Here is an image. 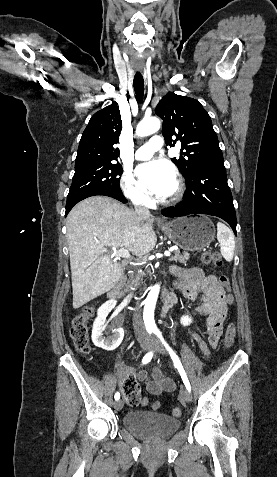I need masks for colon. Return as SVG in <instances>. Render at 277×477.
Here are the masks:
<instances>
[{
    "label": "colon",
    "instance_id": "1",
    "mask_svg": "<svg viewBox=\"0 0 277 477\" xmlns=\"http://www.w3.org/2000/svg\"><path fill=\"white\" fill-rule=\"evenodd\" d=\"M201 261L207 267H220L223 264L222 257L217 252L206 251L201 255ZM219 282L225 286L226 293V305L229 307L234 306L235 304V293L229 287V279L225 274L219 276ZM94 308L92 306H84L78 315L73 319L70 335L73 340L75 348L81 353L90 352V344L88 338V321L93 316ZM235 336V327L233 324H229L226 330L224 343L227 347H230L233 344ZM122 391L128 401L132 406H136L141 403L142 398L140 397V388L136 382L133 380H127L123 384ZM151 408L157 410L160 408V403L154 401L151 403ZM174 416H180L182 410L179 407H175L172 410Z\"/></svg>",
    "mask_w": 277,
    "mask_h": 477
}]
</instances>
